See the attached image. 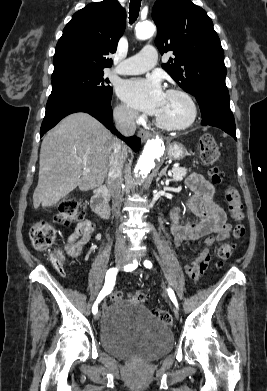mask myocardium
<instances>
[{
  "instance_id": "f54148a6",
  "label": "myocardium",
  "mask_w": 267,
  "mask_h": 391,
  "mask_svg": "<svg viewBox=\"0 0 267 391\" xmlns=\"http://www.w3.org/2000/svg\"><path fill=\"white\" fill-rule=\"evenodd\" d=\"M166 94H175L181 96L189 106L190 115L188 119L181 124H172L156 117L157 125L171 131H180L191 127L195 123L198 116V108L192 95L181 88H170L167 90Z\"/></svg>"
}]
</instances>
